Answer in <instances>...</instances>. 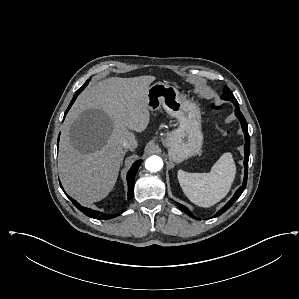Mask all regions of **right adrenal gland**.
I'll return each mask as SVG.
<instances>
[{
    "label": "right adrenal gland",
    "mask_w": 299,
    "mask_h": 299,
    "mask_svg": "<svg viewBox=\"0 0 299 299\" xmlns=\"http://www.w3.org/2000/svg\"><path fill=\"white\" fill-rule=\"evenodd\" d=\"M126 153H127V150L124 151V153H123V158H124V156H125Z\"/></svg>",
    "instance_id": "right-adrenal-gland-1"
}]
</instances>
